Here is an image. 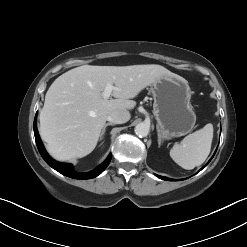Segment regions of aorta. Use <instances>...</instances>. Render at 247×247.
I'll return each mask as SVG.
<instances>
[{
  "mask_svg": "<svg viewBox=\"0 0 247 247\" xmlns=\"http://www.w3.org/2000/svg\"><path fill=\"white\" fill-rule=\"evenodd\" d=\"M150 125L145 122H141L135 127V134L139 137H146L149 134Z\"/></svg>",
  "mask_w": 247,
  "mask_h": 247,
  "instance_id": "762f6f07",
  "label": "aorta"
}]
</instances>
